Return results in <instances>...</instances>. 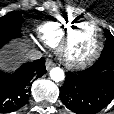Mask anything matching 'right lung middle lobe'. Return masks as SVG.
<instances>
[{"label":"right lung middle lobe","instance_id":"right-lung-middle-lobe-1","mask_svg":"<svg viewBox=\"0 0 114 114\" xmlns=\"http://www.w3.org/2000/svg\"><path fill=\"white\" fill-rule=\"evenodd\" d=\"M21 14L17 11L9 12L0 18V39L9 40L21 35Z\"/></svg>","mask_w":114,"mask_h":114}]
</instances>
